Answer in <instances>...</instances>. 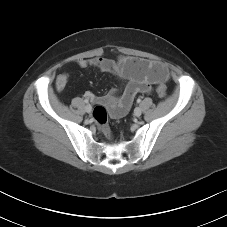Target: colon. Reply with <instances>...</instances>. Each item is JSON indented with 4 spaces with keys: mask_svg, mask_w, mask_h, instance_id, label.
<instances>
[{
    "mask_svg": "<svg viewBox=\"0 0 227 227\" xmlns=\"http://www.w3.org/2000/svg\"><path fill=\"white\" fill-rule=\"evenodd\" d=\"M156 68L162 73L167 72L166 68H164L160 64H156ZM157 94L161 98H165L167 96V88L164 84H160L157 87ZM93 119H94L95 123L99 126L102 134L106 138H111V132H110V128L108 126V121H107V119H108L107 111L103 106L99 105L94 108Z\"/></svg>",
    "mask_w": 227,
    "mask_h": 227,
    "instance_id": "colon-1",
    "label": "colon"
}]
</instances>
